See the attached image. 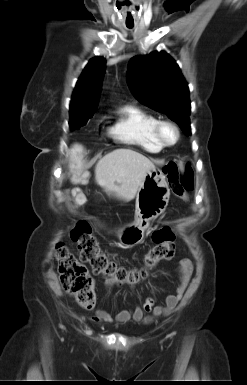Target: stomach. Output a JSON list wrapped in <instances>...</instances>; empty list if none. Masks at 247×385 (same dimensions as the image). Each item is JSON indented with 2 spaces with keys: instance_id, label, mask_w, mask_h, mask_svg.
Segmentation results:
<instances>
[{
  "instance_id": "obj_1",
  "label": "stomach",
  "mask_w": 247,
  "mask_h": 385,
  "mask_svg": "<svg viewBox=\"0 0 247 385\" xmlns=\"http://www.w3.org/2000/svg\"><path fill=\"white\" fill-rule=\"evenodd\" d=\"M169 197L170 189L165 176L154 167L146 173L137 192L135 220L116 231L119 242L127 248L140 243L150 222L166 209Z\"/></svg>"
}]
</instances>
